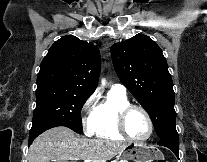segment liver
<instances>
[{
	"label": "liver",
	"mask_w": 207,
	"mask_h": 162,
	"mask_svg": "<svg viewBox=\"0 0 207 162\" xmlns=\"http://www.w3.org/2000/svg\"><path fill=\"white\" fill-rule=\"evenodd\" d=\"M128 145L107 139L78 137L67 127L51 128L38 136L29 148L28 162L104 161L116 157Z\"/></svg>",
	"instance_id": "6515ba94"
}]
</instances>
